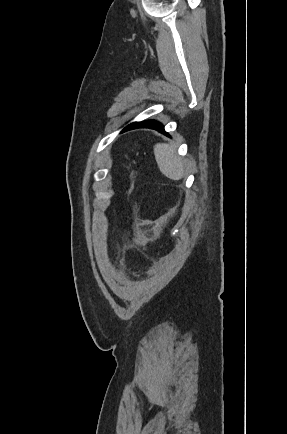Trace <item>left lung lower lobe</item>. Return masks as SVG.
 I'll return each instance as SVG.
<instances>
[{
	"label": "left lung lower lobe",
	"mask_w": 287,
	"mask_h": 434,
	"mask_svg": "<svg viewBox=\"0 0 287 434\" xmlns=\"http://www.w3.org/2000/svg\"><path fill=\"white\" fill-rule=\"evenodd\" d=\"M137 128H150V129H155L161 133H164L165 135H168L165 130L164 127L161 123L155 121V120H147V121H142V122H134L129 124L128 126H126L122 132H125L127 130H131V129H137Z\"/></svg>",
	"instance_id": "left-lung-lower-lobe-1"
}]
</instances>
